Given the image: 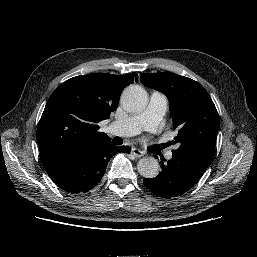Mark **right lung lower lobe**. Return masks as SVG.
Here are the masks:
<instances>
[{
  "label": "right lung lower lobe",
  "mask_w": 257,
  "mask_h": 257,
  "mask_svg": "<svg viewBox=\"0 0 257 257\" xmlns=\"http://www.w3.org/2000/svg\"><path fill=\"white\" fill-rule=\"evenodd\" d=\"M128 146L117 147L111 140L72 151L45 167L52 180L71 193L87 192L105 174L111 157L118 152H130Z\"/></svg>",
  "instance_id": "98d812e1"
}]
</instances>
